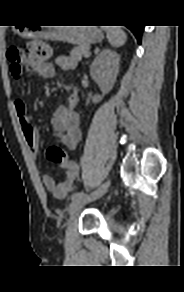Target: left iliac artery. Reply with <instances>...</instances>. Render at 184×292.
I'll use <instances>...</instances> for the list:
<instances>
[{
	"label": "left iliac artery",
	"instance_id": "1",
	"mask_svg": "<svg viewBox=\"0 0 184 292\" xmlns=\"http://www.w3.org/2000/svg\"><path fill=\"white\" fill-rule=\"evenodd\" d=\"M85 196H87V194L82 192V191L76 192L71 196V200L72 201L80 200V199L84 198Z\"/></svg>",
	"mask_w": 184,
	"mask_h": 292
}]
</instances>
